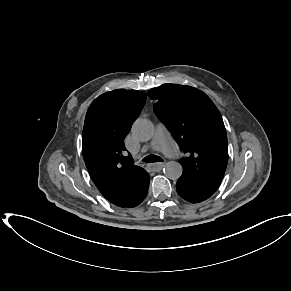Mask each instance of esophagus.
<instances>
[{"mask_svg":"<svg viewBox=\"0 0 291 291\" xmlns=\"http://www.w3.org/2000/svg\"><path fill=\"white\" fill-rule=\"evenodd\" d=\"M151 169L155 172L160 171L164 167V163H154L150 165Z\"/></svg>","mask_w":291,"mask_h":291,"instance_id":"34e87169","label":"esophagus"}]
</instances>
